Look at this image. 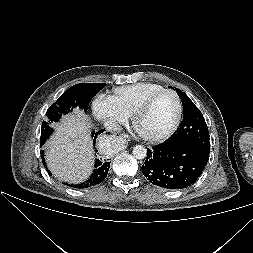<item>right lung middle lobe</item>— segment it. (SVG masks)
<instances>
[{
  "label": "right lung middle lobe",
  "instance_id": "dd1d6c3e",
  "mask_svg": "<svg viewBox=\"0 0 253 253\" xmlns=\"http://www.w3.org/2000/svg\"><path fill=\"white\" fill-rule=\"evenodd\" d=\"M105 85V83H80L63 93L47 110V119L42 123L40 144L44 145L51 135L53 131L51 128L52 122L58 121L63 114L72 111L75 107H79L86 112L94 95Z\"/></svg>",
  "mask_w": 253,
  "mask_h": 253
}]
</instances>
